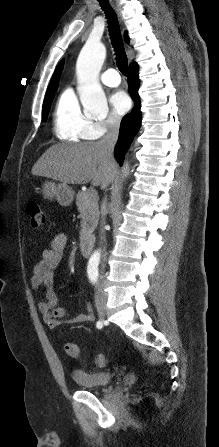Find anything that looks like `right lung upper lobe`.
Wrapping results in <instances>:
<instances>
[{
	"instance_id": "obj_1",
	"label": "right lung upper lobe",
	"mask_w": 219,
	"mask_h": 447,
	"mask_svg": "<svg viewBox=\"0 0 219 447\" xmlns=\"http://www.w3.org/2000/svg\"><path fill=\"white\" fill-rule=\"evenodd\" d=\"M124 39H125V41L127 43L129 42L128 41L127 32H125V34H124ZM62 66H63V62H60L59 65L57 66L55 72H54V75L52 77L50 85H49V87L47 89L45 99L50 97V96H52V95H54V92L56 91L57 86H58V80H59V77H60V74H61V71H62Z\"/></svg>"
}]
</instances>
